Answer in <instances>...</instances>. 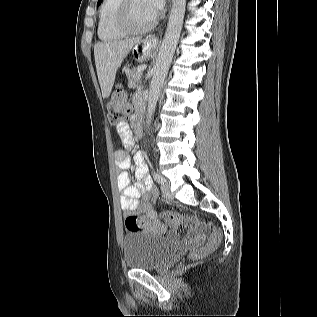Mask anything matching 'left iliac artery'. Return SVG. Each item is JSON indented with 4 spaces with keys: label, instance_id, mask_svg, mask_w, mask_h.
<instances>
[{
    "label": "left iliac artery",
    "instance_id": "obj_1",
    "mask_svg": "<svg viewBox=\"0 0 317 317\" xmlns=\"http://www.w3.org/2000/svg\"><path fill=\"white\" fill-rule=\"evenodd\" d=\"M153 177L154 180L158 183H162L164 181V178L158 172H154Z\"/></svg>",
    "mask_w": 317,
    "mask_h": 317
}]
</instances>
